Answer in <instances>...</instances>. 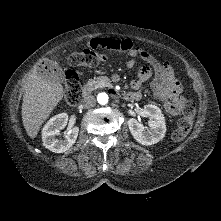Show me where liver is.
I'll use <instances>...</instances> for the list:
<instances>
[{"instance_id": "obj_1", "label": "liver", "mask_w": 221, "mask_h": 221, "mask_svg": "<svg viewBox=\"0 0 221 221\" xmlns=\"http://www.w3.org/2000/svg\"><path fill=\"white\" fill-rule=\"evenodd\" d=\"M63 95L60 83L42 79L37 68L32 69L24 86L22 103V121L30 138L37 136L43 122L63 99Z\"/></svg>"}]
</instances>
